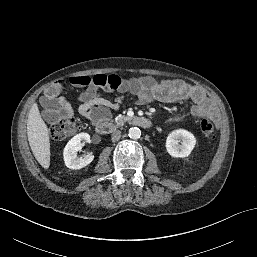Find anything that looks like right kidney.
Instances as JSON below:
<instances>
[{
	"mask_svg": "<svg viewBox=\"0 0 257 257\" xmlns=\"http://www.w3.org/2000/svg\"><path fill=\"white\" fill-rule=\"evenodd\" d=\"M82 141L89 143L90 135L88 133H79L70 139L64 148V162L70 169H81L93 161L94 156L92 153H87L82 157H78L77 152L80 150Z\"/></svg>",
	"mask_w": 257,
	"mask_h": 257,
	"instance_id": "1",
	"label": "right kidney"
}]
</instances>
